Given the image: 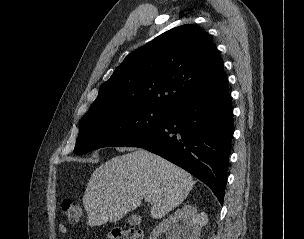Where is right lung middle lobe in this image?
<instances>
[{
    "instance_id": "1",
    "label": "right lung middle lobe",
    "mask_w": 304,
    "mask_h": 239,
    "mask_svg": "<svg viewBox=\"0 0 304 239\" xmlns=\"http://www.w3.org/2000/svg\"><path fill=\"white\" fill-rule=\"evenodd\" d=\"M167 109L137 106L107 110L84 117L74 153L108 146H126L156 129L165 119Z\"/></svg>"
}]
</instances>
